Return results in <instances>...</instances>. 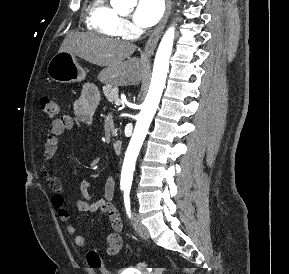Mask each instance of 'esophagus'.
I'll use <instances>...</instances> for the list:
<instances>
[{
	"mask_svg": "<svg viewBox=\"0 0 289 274\" xmlns=\"http://www.w3.org/2000/svg\"><path fill=\"white\" fill-rule=\"evenodd\" d=\"M171 6H172V1L171 0H166V10L165 13L161 19V21L159 22V24L157 25V27L152 31L150 37L148 38L143 53L145 55H151L154 53V50L157 46L158 40L161 36V33L167 23L168 17L170 15V11H171Z\"/></svg>",
	"mask_w": 289,
	"mask_h": 274,
	"instance_id": "obj_1",
	"label": "esophagus"
}]
</instances>
